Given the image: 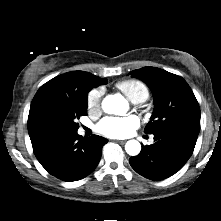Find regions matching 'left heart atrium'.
<instances>
[{
    "instance_id": "left-heart-atrium-1",
    "label": "left heart atrium",
    "mask_w": 221,
    "mask_h": 221,
    "mask_svg": "<svg viewBox=\"0 0 221 221\" xmlns=\"http://www.w3.org/2000/svg\"><path fill=\"white\" fill-rule=\"evenodd\" d=\"M139 124V119L135 115L106 117L98 124L97 130L108 137L125 138L130 136Z\"/></svg>"
}]
</instances>
